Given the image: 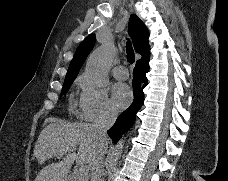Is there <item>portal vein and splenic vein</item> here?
<instances>
[{
    "label": "portal vein and splenic vein",
    "mask_w": 228,
    "mask_h": 181,
    "mask_svg": "<svg viewBox=\"0 0 228 181\" xmlns=\"http://www.w3.org/2000/svg\"><path fill=\"white\" fill-rule=\"evenodd\" d=\"M68 151H71V153H73V151H75V149H68ZM62 155H57V159H61ZM90 169L89 167H87V165H80L79 167V173L80 175H88ZM81 179H84V177H81Z\"/></svg>",
    "instance_id": "portal-vein-and-splenic-vein-1"
}]
</instances>
